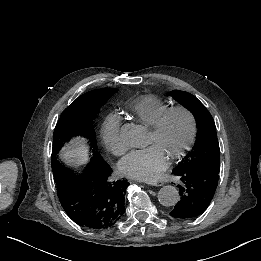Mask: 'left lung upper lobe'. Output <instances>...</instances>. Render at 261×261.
I'll return each instance as SVG.
<instances>
[{"instance_id": "1", "label": "left lung upper lobe", "mask_w": 261, "mask_h": 261, "mask_svg": "<svg viewBox=\"0 0 261 261\" xmlns=\"http://www.w3.org/2000/svg\"><path fill=\"white\" fill-rule=\"evenodd\" d=\"M170 95L193 113L198 126L196 142L192 150L175 169L204 168L219 172L220 148L211 114L188 92L173 90Z\"/></svg>"}]
</instances>
